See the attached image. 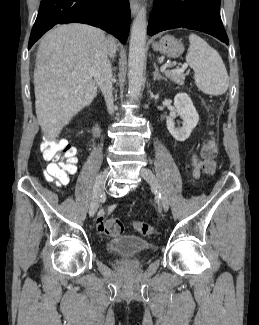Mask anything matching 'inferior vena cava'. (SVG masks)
<instances>
[{
  "instance_id": "obj_1",
  "label": "inferior vena cava",
  "mask_w": 259,
  "mask_h": 325,
  "mask_svg": "<svg viewBox=\"0 0 259 325\" xmlns=\"http://www.w3.org/2000/svg\"><path fill=\"white\" fill-rule=\"evenodd\" d=\"M109 55L108 44L107 41H105L103 46L95 54L92 75L102 91L108 112L112 114L114 105L112 94V67L108 58Z\"/></svg>"
}]
</instances>
